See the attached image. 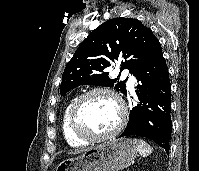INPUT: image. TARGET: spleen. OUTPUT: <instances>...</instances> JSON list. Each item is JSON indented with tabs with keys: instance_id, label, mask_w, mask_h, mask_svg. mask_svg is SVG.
Returning a JSON list of instances; mask_svg holds the SVG:
<instances>
[{
	"instance_id": "obj_1",
	"label": "spleen",
	"mask_w": 199,
	"mask_h": 171,
	"mask_svg": "<svg viewBox=\"0 0 199 171\" xmlns=\"http://www.w3.org/2000/svg\"><path fill=\"white\" fill-rule=\"evenodd\" d=\"M133 143L136 145L137 151L143 157H146L152 153L151 146L142 139H134Z\"/></svg>"
}]
</instances>
